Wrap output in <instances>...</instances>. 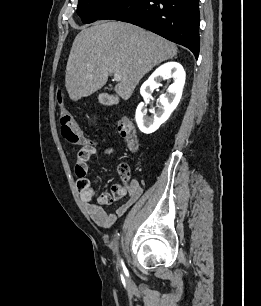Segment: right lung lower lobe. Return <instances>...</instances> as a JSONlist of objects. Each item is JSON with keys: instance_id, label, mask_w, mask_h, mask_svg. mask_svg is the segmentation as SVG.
<instances>
[{"instance_id": "obj_1", "label": "right lung lower lobe", "mask_w": 261, "mask_h": 306, "mask_svg": "<svg viewBox=\"0 0 261 306\" xmlns=\"http://www.w3.org/2000/svg\"><path fill=\"white\" fill-rule=\"evenodd\" d=\"M148 29L199 54L198 0H119L100 17Z\"/></svg>"}]
</instances>
